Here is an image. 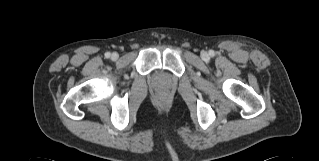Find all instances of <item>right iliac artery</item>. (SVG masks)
Here are the masks:
<instances>
[{
  "instance_id": "obj_1",
  "label": "right iliac artery",
  "mask_w": 319,
  "mask_h": 161,
  "mask_svg": "<svg viewBox=\"0 0 319 161\" xmlns=\"http://www.w3.org/2000/svg\"><path fill=\"white\" fill-rule=\"evenodd\" d=\"M110 56H111V53H110V52H106V53H105V57H106V58H109Z\"/></svg>"
}]
</instances>
